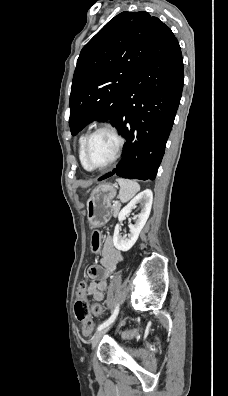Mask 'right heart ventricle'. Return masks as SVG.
Segmentation results:
<instances>
[{
    "label": "right heart ventricle",
    "mask_w": 228,
    "mask_h": 396,
    "mask_svg": "<svg viewBox=\"0 0 228 396\" xmlns=\"http://www.w3.org/2000/svg\"><path fill=\"white\" fill-rule=\"evenodd\" d=\"M86 135H81L79 137L78 140V157H79V161L82 165V167L87 170L90 171V169L86 166L84 159H83V145H84V141H85Z\"/></svg>",
    "instance_id": "right-heart-ventricle-1"
}]
</instances>
